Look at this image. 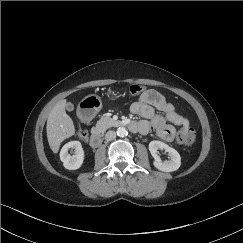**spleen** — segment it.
I'll list each match as a JSON object with an SVG mask.
<instances>
[{
	"label": "spleen",
	"mask_w": 243,
	"mask_h": 243,
	"mask_svg": "<svg viewBox=\"0 0 243 243\" xmlns=\"http://www.w3.org/2000/svg\"><path fill=\"white\" fill-rule=\"evenodd\" d=\"M187 125H188V122L185 123V126H186V127H187Z\"/></svg>",
	"instance_id": "3e777b00"
}]
</instances>
